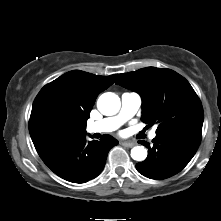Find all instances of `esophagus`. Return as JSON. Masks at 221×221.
Listing matches in <instances>:
<instances>
[{
    "mask_svg": "<svg viewBox=\"0 0 221 221\" xmlns=\"http://www.w3.org/2000/svg\"><path fill=\"white\" fill-rule=\"evenodd\" d=\"M121 145L124 147H127V148H131L135 145V143L129 142V141H124V142H121Z\"/></svg>",
    "mask_w": 221,
    "mask_h": 221,
    "instance_id": "obj_1",
    "label": "esophagus"
}]
</instances>
